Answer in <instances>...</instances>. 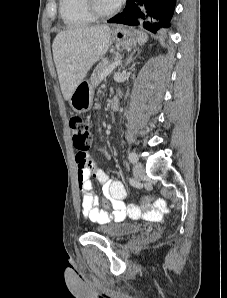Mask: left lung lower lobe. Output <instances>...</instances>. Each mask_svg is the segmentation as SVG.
Instances as JSON below:
<instances>
[{
    "instance_id": "1",
    "label": "left lung lower lobe",
    "mask_w": 227,
    "mask_h": 298,
    "mask_svg": "<svg viewBox=\"0 0 227 298\" xmlns=\"http://www.w3.org/2000/svg\"><path fill=\"white\" fill-rule=\"evenodd\" d=\"M175 3L176 0H127L124 11L108 22L142 25L145 29L156 33L169 26Z\"/></svg>"
}]
</instances>
